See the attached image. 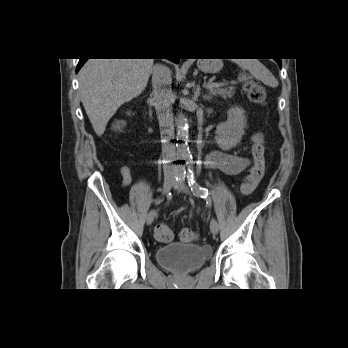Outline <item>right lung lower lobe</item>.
I'll use <instances>...</instances> for the list:
<instances>
[{"label":"right lung lower lobe","instance_id":"obj_1","mask_svg":"<svg viewBox=\"0 0 348 348\" xmlns=\"http://www.w3.org/2000/svg\"><path fill=\"white\" fill-rule=\"evenodd\" d=\"M175 63H178L179 62V59H169ZM87 61V59H79V63L77 65V68H76V72H78L80 70V68L84 65V63Z\"/></svg>","mask_w":348,"mask_h":348}]
</instances>
